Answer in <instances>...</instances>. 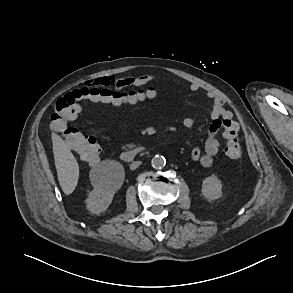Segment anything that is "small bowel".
<instances>
[{
	"label": "small bowel",
	"instance_id": "small-bowel-1",
	"mask_svg": "<svg viewBox=\"0 0 293 293\" xmlns=\"http://www.w3.org/2000/svg\"><path fill=\"white\" fill-rule=\"evenodd\" d=\"M155 79L153 75H140V76H130L115 78L112 76H102L99 78L90 79L87 81L88 85L96 84H106L114 88L115 92L121 93L125 88L132 86L135 87H145L143 91L139 92H129V96L118 99L112 102H106L112 104L113 106L122 105H135L145 100L153 99L157 96V90L154 87L149 86V84ZM190 90L193 92L199 91L201 87L197 83H191L189 86ZM208 99L212 101L211 117L212 121L208 127V137L205 142L204 150L199 148H194L191 151L190 157L193 161L199 162L204 167H209L212 165L214 157L219 151V140L216 135L221 129L223 122L225 120H233V112L227 110L224 106L223 99L216 94L214 91L208 90L206 92ZM82 106H80V111ZM183 126L185 128L191 129L194 126V120L190 115H186L183 118Z\"/></svg>",
	"mask_w": 293,
	"mask_h": 293
}]
</instances>
